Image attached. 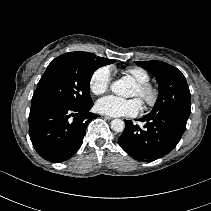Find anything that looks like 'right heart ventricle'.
<instances>
[{
    "instance_id": "obj_1",
    "label": "right heart ventricle",
    "mask_w": 211,
    "mask_h": 211,
    "mask_svg": "<svg viewBox=\"0 0 211 211\" xmlns=\"http://www.w3.org/2000/svg\"><path fill=\"white\" fill-rule=\"evenodd\" d=\"M123 74L132 78L136 83H145L149 82L150 75L149 73L140 67H130L124 70Z\"/></svg>"
}]
</instances>
